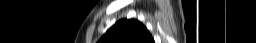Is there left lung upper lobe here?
I'll list each match as a JSON object with an SVG mask.
<instances>
[{"label":"left lung upper lobe","mask_w":256,"mask_h":43,"mask_svg":"<svg viewBox=\"0 0 256 43\" xmlns=\"http://www.w3.org/2000/svg\"><path fill=\"white\" fill-rule=\"evenodd\" d=\"M98 43H154V40L138 20L122 19L115 23Z\"/></svg>","instance_id":"5c2ea615"}]
</instances>
